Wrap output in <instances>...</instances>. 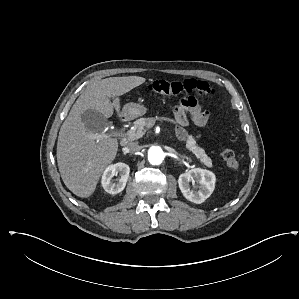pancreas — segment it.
<instances>
[{"label":"pancreas","instance_id":"obj_1","mask_svg":"<svg viewBox=\"0 0 299 299\" xmlns=\"http://www.w3.org/2000/svg\"><path fill=\"white\" fill-rule=\"evenodd\" d=\"M147 128H149L148 118H140L136 120L134 122L133 128L128 131L129 139L136 140L141 138L145 134ZM186 148L192 152L205 166L209 168L213 166L210 157L207 156L203 148L196 144V140L192 136L188 137L186 141Z\"/></svg>","mask_w":299,"mask_h":299}]
</instances>
